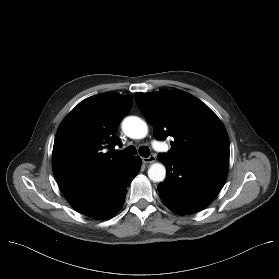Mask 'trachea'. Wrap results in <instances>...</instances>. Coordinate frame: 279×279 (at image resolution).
<instances>
[{"mask_svg":"<svg viewBox=\"0 0 279 279\" xmlns=\"http://www.w3.org/2000/svg\"><path fill=\"white\" fill-rule=\"evenodd\" d=\"M136 153H137L136 148L134 146H129L122 152V155L133 156ZM139 154L143 157H148L150 155V150L147 146H141L139 148Z\"/></svg>","mask_w":279,"mask_h":279,"instance_id":"1","label":"trachea"}]
</instances>
